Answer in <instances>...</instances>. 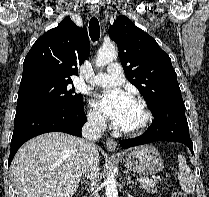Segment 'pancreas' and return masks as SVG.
<instances>
[{"label":"pancreas","mask_w":209,"mask_h":197,"mask_svg":"<svg viewBox=\"0 0 209 197\" xmlns=\"http://www.w3.org/2000/svg\"><path fill=\"white\" fill-rule=\"evenodd\" d=\"M157 182H152V183H141V188L144 189L147 193L154 194L157 192L156 188Z\"/></svg>","instance_id":"pancreas-1"}]
</instances>
